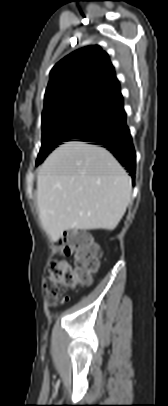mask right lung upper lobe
<instances>
[{"label":"right lung upper lobe","instance_id":"cb5924a9","mask_svg":"<svg viewBox=\"0 0 168 406\" xmlns=\"http://www.w3.org/2000/svg\"><path fill=\"white\" fill-rule=\"evenodd\" d=\"M121 96L108 54L99 46H87L59 61L50 72L42 117L81 103L110 105Z\"/></svg>","mask_w":168,"mask_h":406}]
</instances>
